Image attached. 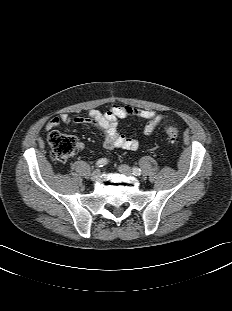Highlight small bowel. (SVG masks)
Returning <instances> with one entry per match:
<instances>
[{
    "label": "small bowel",
    "instance_id": "obj_1",
    "mask_svg": "<svg viewBox=\"0 0 232 311\" xmlns=\"http://www.w3.org/2000/svg\"><path fill=\"white\" fill-rule=\"evenodd\" d=\"M162 115L149 109L113 105L107 112L91 110L86 115L71 116L68 114H60L50 119L45 129L53 131L59 126L69 123L88 124L97 127L103 134V146L107 150L125 149L136 150L139 147V142L131 137L125 136L118 131V121L125 118H136L146 120L147 124L144 127L143 133L145 136H150L156 129V126ZM85 147L83 142L78 143V148L83 150Z\"/></svg>",
    "mask_w": 232,
    "mask_h": 311
}]
</instances>
